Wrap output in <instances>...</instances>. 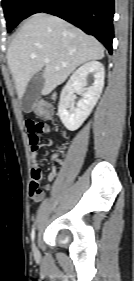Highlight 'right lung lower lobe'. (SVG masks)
<instances>
[{"label":"right lung lower lobe","instance_id":"obj_1","mask_svg":"<svg viewBox=\"0 0 134 281\" xmlns=\"http://www.w3.org/2000/svg\"><path fill=\"white\" fill-rule=\"evenodd\" d=\"M45 12L95 36L112 54L114 0H36L28 16Z\"/></svg>","mask_w":134,"mask_h":281}]
</instances>
